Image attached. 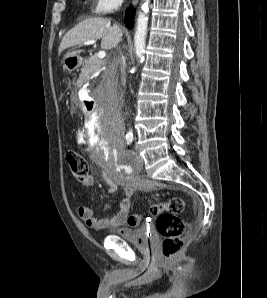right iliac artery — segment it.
<instances>
[{"mask_svg":"<svg viewBox=\"0 0 267 298\" xmlns=\"http://www.w3.org/2000/svg\"><path fill=\"white\" fill-rule=\"evenodd\" d=\"M134 140L133 135H126L127 144H131Z\"/></svg>","mask_w":267,"mask_h":298,"instance_id":"82829eb1","label":"right iliac artery"}]
</instances>
